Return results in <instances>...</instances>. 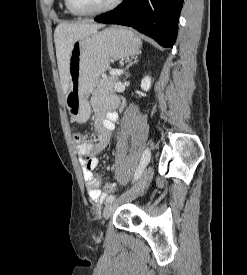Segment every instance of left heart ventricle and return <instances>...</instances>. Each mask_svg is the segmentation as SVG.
Listing matches in <instances>:
<instances>
[{
	"instance_id": "1",
	"label": "left heart ventricle",
	"mask_w": 247,
	"mask_h": 275,
	"mask_svg": "<svg viewBox=\"0 0 247 275\" xmlns=\"http://www.w3.org/2000/svg\"><path fill=\"white\" fill-rule=\"evenodd\" d=\"M111 0H71L72 5L81 11H93L107 5Z\"/></svg>"
}]
</instances>
